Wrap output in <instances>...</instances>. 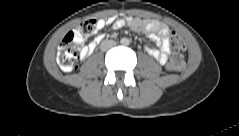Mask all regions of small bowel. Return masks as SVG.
Instances as JSON below:
<instances>
[{
    "label": "small bowel",
    "instance_id": "c3829d8e",
    "mask_svg": "<svg viewBox=\"0 0 239 136\" xmlns=\"http://www.w3.org/2000/svg\"><path fill=\"white\" fill-rule=\"evenodd\" d=\"M107 22L103 19L97 21V30H102L106 26ZM126 24L138 32L145 34L152 41H154L159 49L153 48L151 46H146V51L155 58L160 64L164 65L171 53L170 49V30L167 25L162 22L154 20H145L141 18H131V17H119L112 21L113 29H120ZM103 39L102 35H97L93 40L87 42L84 38H81L83 47L81 49V58H87L97 47V45Z\"/></svg>",
    "mask_w": 239,
    "mask_h": 136
}]
</instances>
